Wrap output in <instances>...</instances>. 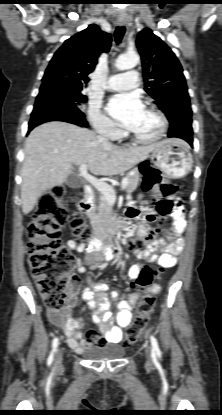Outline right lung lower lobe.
<instances>
[{
	"label": "right lung lower lobe",
	"mask_w": 222,
	"mask_h": 415,
	"mask_svg": "<svg viewBox=\"0 0 222 415\" xmlns=\"http://www.w3.org/2000/svg\"><path fill=\"white\" fill-rule=\"evenodd\" d=\"M58 86L56 84L41 86L31 114L28 132L37 125L49 121H64L88 127L85 115L59 90Z\"/></svg>",
	"instance_id": "right-lung-lower-lobe-1"
}]
</instances>
